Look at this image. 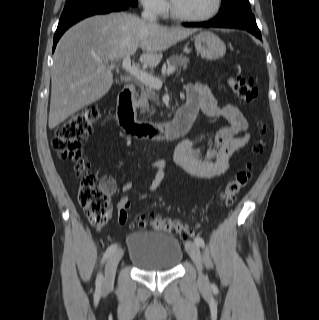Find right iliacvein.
<instances>
[{
	"instance_id": "63e3f726",
	"label": "right iliac vein",
	"mask_w": 319,
	"mask_h": 320,
	"mask_svg": "<svg viewBox=\"0 0 319 320\" xmlns=\"http://www.w3.org/2000/svg\"><path fill=\"white\" fill-rule=\"evenodd\" d=\"M123 255L122 249H116L111 256L109 257L106 268H105V277L103 285L105 288H110L114 283L115 273L117 265Z\"/></svg>"
}]
</instances>
